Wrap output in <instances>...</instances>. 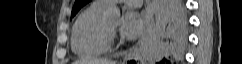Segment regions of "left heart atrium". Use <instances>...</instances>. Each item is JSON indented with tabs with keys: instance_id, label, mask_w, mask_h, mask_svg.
Here are the masks:
<instances>
[{
	"instance_id": "1",
	"label": "left heart atrium",
	"mask_w": 242,
	"mask_h": 64,
	"mask_svg": "<svg viewBox=\"0 0 242 64\" xmlns=\"http://www.w3.org/2000/svg\"><path fill=\"white\" fill-rule=\"evenodd\" d=\"M143 29V18L138 12L129 10L124 13L120 29L123 36L134 39L142 34Z\"/></svg>"
}]
</instances>
